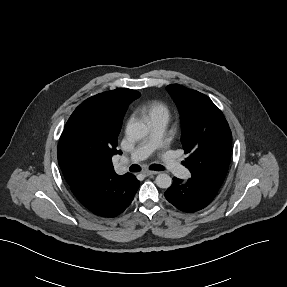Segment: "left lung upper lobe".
Instances as JSON below:
<instances>
[{"label": "left lung upper lobe", "instance_id": "obj_1", "mask_svg": "<svg viewBox=\"0 0 287 287\" xmlns=\"http://www.w3.org/2000/svg\"><path fill=\"white\" fill-rule=\"evenodd\" d=\"M182 121L184 164L192 177L219 189L228 171L232 133L220 109L206 95L178 84L166 87Z\"/></svg>", "mask_w": 287, "mask_h": 287}]
</instances>
